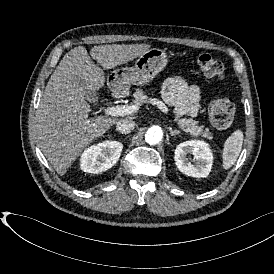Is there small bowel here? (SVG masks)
Segmentation results:
<instances>
[{
	"label": "small bowel",
	"instance_id": "1",
	"mask_svg": "<svg viewBox=\"0 0 274 274\" xmlns=\"http://www.w3.org/2000/svg\"><path fill=\"white\" fill-rule=\"evenodd\" d=\"M162 94L181 116H196L200 110L199 87L188 84L180 77L168 78L163 84Z\"/></svg>",
	"mask_w": 274,
	"mask_h": 274
}]
</instances>
